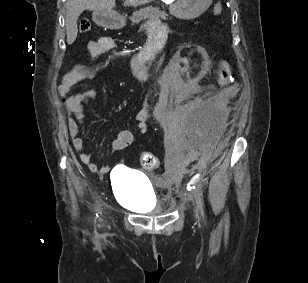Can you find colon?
<instances>
[{"mask_svg":"<svg viewBox=\"0 0 308 283\" xmlns=\"http://www.w3.org/2000/svg\"><path fill=\"white\" fill-rule=\"evenodd\" d=\"M223 11L222 3L218 2L214 6V14L220 15ZM79 29L81 33H87L91 29V24L88 20H81L79 24ZM231 76V65L228 61L224 60L217 73V81L220 85H225L228 83ZM141 166L146 170H152L159 166L158 158L150 153L144 152L140 155Z\"/></svg>","mask_w":308,"mask_h":283,"instance_id":"1","label":"colon"}]
</instances>
